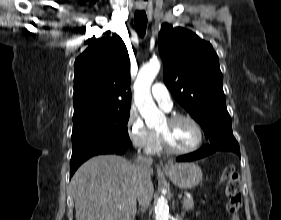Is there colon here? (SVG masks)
<instances>
[{
    "instance_id": "1",
    "label": "colon",
    "mask_w": 281,
    "mask_h": 220,
    "mask_svg": "<svg viewBox=\"0 0 281 220\" xmlns=\"http://www.w3.org/2000/svg\"><path fill=\"white\" fill-rule=\"evenodd\" d=\"M221 181L226 182L227 212L231 220H240L239 211L242 207L241 183L240 176L233 165H228L224 168Z\"/></svg>"
}]
</instances>
